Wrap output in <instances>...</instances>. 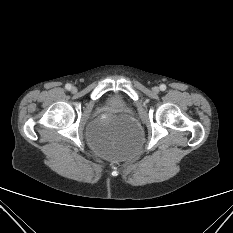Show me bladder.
<instances>
[{
    "instance_id": "obj_1",
    "label": "bladder",
    "mask_w": 233,
    "mask_h": 233,
    "mask_svg": "<svg viewBox=\"0 0 233 233\" xmlns=\"http://www.w3.org/2000/svg\"><path fill=\"white\" fill-rule=\"evenodd\" d=\"M110 103L117 106L123 104L119 98H112ZM140 137L137 125L132 121H126L120 125L98 128L89 134V141L95 152L103 158L126 159L137 151Z\"/></svg>"
}]
</instances>
